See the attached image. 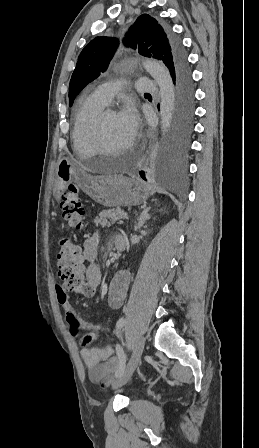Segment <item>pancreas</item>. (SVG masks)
<instances>
[{"instance_id":"1","label":"pancreas","mask_w":259,"mask_h":448,"mask_svg":"<svg viewBox=\"0 0 259 448\" xmlns=\"http://www.w3.org/2000/svg\"><path fill=\"white\" fill-rule=\"evenodd\" d=\"M128 218L126 212L121 210V208H116V210H103L99 214V218H95L94 222L96 226H110V224H115L118 220H126Z\"/></svg>"}]
</instances>
